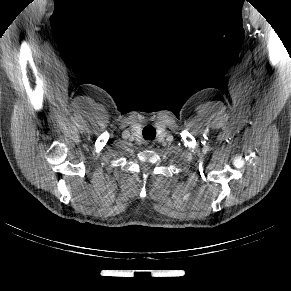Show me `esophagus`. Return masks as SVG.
<instances>
[{"instance_id":"esophagus-1","label":"esophagus","mask_w":291,"mask_h":291,"mask_svg":"<svg viewBox=\"0 0 291 291\" xmlns=\"http://www.w3.org/2000/svg\"><path fill=\"white\" fill-rule=\"evenodd\" d=\"M147 144H148V147H149V148H151V147H152V145H151L150 143H147Z\"/></svg>"}]
</instances>
